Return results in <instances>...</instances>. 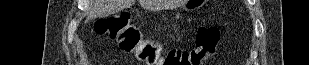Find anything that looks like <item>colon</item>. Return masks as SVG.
<instances>
[{
  "instance_id": "obj_1",
  "label": "colon",
  "mask_w": 309,
  "mask_h": 65,
  "mask_svg": "<svg viewBox=\"0 0 309 65\" xmlns=\"http://www.w3.org/2000/svg\"><path fill=\"white\" fill-rule=\"evenodd\" d=\"M95 31L108 40H116L121 50L132 53L146 65H201L212 56L220 41L216 26H202L195 37L192 49L171 47L164 50L160 43L146 39L128 13L107 16L97 21Z\"/></svg>"
}]
</instances>
